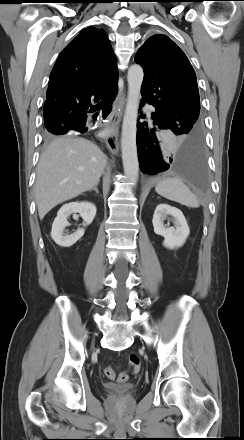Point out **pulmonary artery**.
Listing matches in <instances>:
<instances>
[{
  "label": "pulmonary artery",
  "instance_id": "e3ab8cb5",
  "mask_svg": "<svg viewBox=\"0 0 244 440\" xmlns=\"http://www.w3.org/2000/svg\"><path fill=\"white\" fill-rule=\"evenodd\" d=\"M146 110H147L148 115L150 116L151 112H152V108L150 106H146Z\"/></svg>",
  "mask_w": 244,
  "mask_h": 440
}]
</instances>
